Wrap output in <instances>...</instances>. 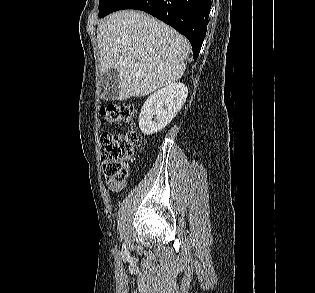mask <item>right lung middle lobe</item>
Listing matches in <instances>:
<instances>
[{
    "instance_id": "obj_1",
    "label": "right lung middle lobe",
    "mask_w": 315,
    "mask_h": 293,
    "mask_svg": "<svg viewBox=\"0 0 315 293\" xmlns=\"http://www.w3.org/2000/svg\"><path fill=\"white\" fill-rule=\"evenodd\" d=\"M112 0H100L99 2V17H101L107 10Z\"/></svg>"
}]
</instances>
